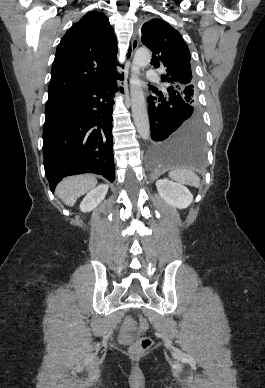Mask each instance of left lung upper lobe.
Here are the masks:
<instances>
[{
	"mask_svg": "<svg viewBox=\"0 0 265 388\" xmlns=\"http://www.w3.org/2000/svg\"><path fill=\"white\" fill-rule=\"evenodd\" d=\"M142 43L152 51L151 65L166 68L161 80L170 84L185 103L198 108L193 85L190 52L181 34L161 19H152L142 26ZM175 94V93H174Z\"/></svg>",
	"mask_w": 265,
	"mask_h": 388,
	"instance_id": "obj_1",
	"label": "left lung upper lobe"
}]
</instances>
